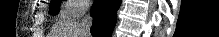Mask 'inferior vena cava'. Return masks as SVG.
Instances as JSON below:
<instances>
[{"instance_id":"inferior-vena-cava-1","label":"inferior vena cava","mask_w":219,"mask_h":37,"mask_svg":"<svg viewBox=\"0 0 219 37\" xmlns=\"http://www.w3.org/2000/svg\"><path fill=\"white\" fill-rule=\"evenodd\" d=\"M92 22L93 18L88 9H86L85 15L78 26L77 33L79 37H90V28L92 26Z\"/></svg>"}]
</instances>
